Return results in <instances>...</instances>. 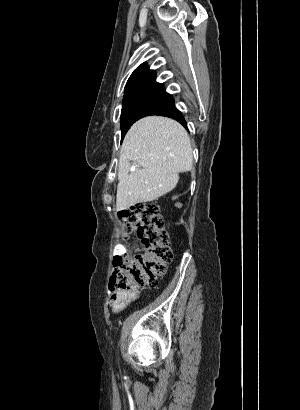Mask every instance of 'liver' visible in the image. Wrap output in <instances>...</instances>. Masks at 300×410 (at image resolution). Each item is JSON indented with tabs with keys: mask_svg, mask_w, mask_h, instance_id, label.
Returning <instances> with one entry per match:
<instances>
[{
	"mask_svg": "<svg viewBox=\"0 0 300 410\" xmlns=\"http://www.w3.org/2000/svg\"><path fill=\"white\" fill-rule=\"evenodd\" d=\"M130 161L142 169L130 172ZM190 138L177 121L149 116L127 132L120 152L116 195L117 211L157 200L173 190L180 172L192 169Z\"/></svg>",
	"mask_w": 300,
	"mask_h": 410,
	"instance_id": "obj_1",
	"label": "liver"
}]
</instances>
